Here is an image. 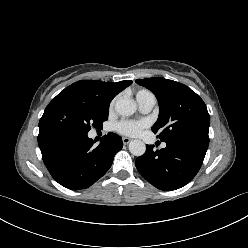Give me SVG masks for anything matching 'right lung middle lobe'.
<instances>
[{"label": "right lung middle lobe", "instance_id": "obj_1", "mask_svg": "<svg viewBox=\"0 0 248 248\" xmlns=\"http://www.w3.org/2000/svg\"><path fill=\"white\" fill-rule=\"evenodd\" d=\"M107 119V110L100 111L75 97L58 94L46 107L39 122V131L87 134L91 127H102Z\"/></svg>", "mask_w": 248, "mask_h": 248}]
</instances>
